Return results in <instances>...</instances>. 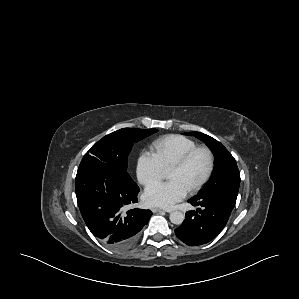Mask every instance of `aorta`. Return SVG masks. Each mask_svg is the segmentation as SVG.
<instances>
[{
	"label": "aorta",
	"instance_id": "obj_1",
	"mask_svg": "<svg viewBox=\"0 0 299 299\" xmlns=\"http://www.w3.org/2000/svg\"><path fill=\"white\" fill-rule=\"evenodd\" d=\"M169 219L171 223L175 225H180L185 219V215L180 211H173L170 213Z\"/></svg>",
	"mask_w": 299,
	"mask_h": 299
}]
</instances>
